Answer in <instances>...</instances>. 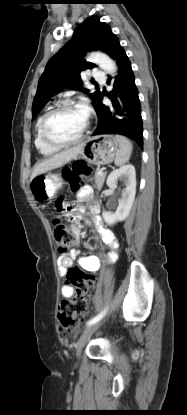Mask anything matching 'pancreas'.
I'll list each match as a JSON object with an SVG mask.
<instances>
[{"instance_id":"obj_1","label":"pancreas","mask_w":187,"mask_h":415,"mask_svg":"<svg viewBox=\"0 0 187 415\" xmlns=\"http://www.w3.org/2000/svg\"><path fill=\"white\" fill-rule=\"evenodd\" d=\"M99 171H96L94 174V180H95V184L96 187L100 190L104 184L105 178H106V173L103 174H99Z\"/></svg>"}]
</instances>
